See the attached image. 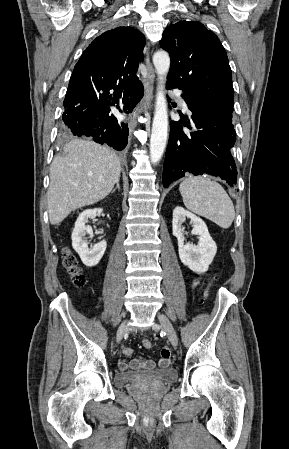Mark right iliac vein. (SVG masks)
I'll return each instance as SVG.
<instances>
[{"instance_id":"63e3f726","label":"right iliac vein","mask_w":289,"mask_h":449,"mask_svg":"<svg viewBox=\"0 0 289 449\" xmlns=\"http://www.w3.org/2000/svg\"><path fill=\"white\" fill-rule=\"evenodd\" d=\"M127 321L123 322L120 327L117 330V335H116V341L120 342L123 338V336L125 335V333L127 332Z\"/></svg>"}]
</instances>
